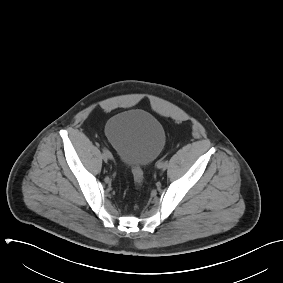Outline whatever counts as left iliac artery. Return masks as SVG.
Listing matches in <instances>:
<instances>
[{
    "instance_id": "1",
    "label": "left iliac artery",
    "mask_w": 283,
    "mask_h": 283,
    "mask_svg": "<svg viewBox=\"0 0 283 283\" xmlns=\"http://www.w3.org/2000/svg\"><path fill=\"white\" fill-rule=\"evenodd\" d=\"M167 164L168 165V161L167 160H160L158 163H157V166H159L160 164Z\"/></svg>"
}]
</instances>
